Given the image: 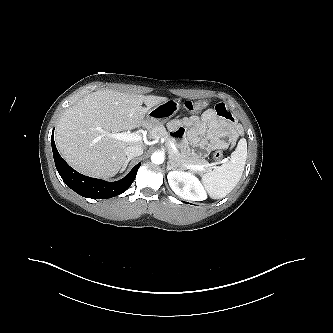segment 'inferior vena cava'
<instances>
[{
  "instance_id": "1",
  "label": "inferior vena cava",
  "mask_w": 333,
  "mask_h": 333,
  "mask_svg": "<svg viewBox=\"0 0 333 333\" xmlns=\"http://www.w3.org/2000/svg\"><path fill=\"white\" fill-rule=\"evenodd\" d=\"M125 154L129 157H137L143 154V148L139 145H130L125 149Z\"/></svg>"
}]
</instances>
